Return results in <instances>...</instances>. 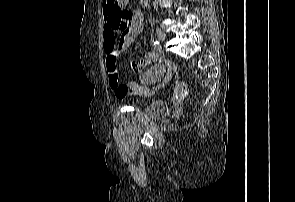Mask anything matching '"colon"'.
Masks as SVG:
<instances>
[{
  "label": "colon",
  "mask_w": 295,
  "mask_h": 202,
  "mask_svg": "<svg viewBox=\"0 0 295 202\" xmlns=\"http://www.w3.org/2000/svg\"><path fill=\"white\" fill-rule=\"evenodd\" d=\"M128 2L129 0H105L106 13L116 17L120 21L119 26L121 28H125L129 20L128 11L124 10Z\"/></svg>",
  "instance_id": "5ec220e1"
}]
</instances>
